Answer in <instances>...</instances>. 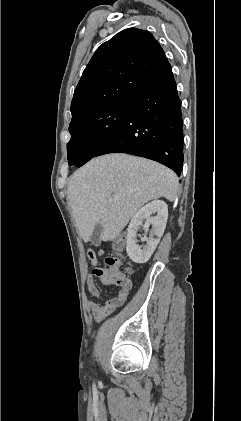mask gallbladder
I'll return each mask as SVG.
<instances>
[{
    "label": "gallbladder",
    "instance_id": "gallbladder-1",
    "mask_svg": "<svg viewBox=\"0 0 241 421\" xmlns=\"http://www.w3.org/2000/svg\"><path fill=\"white\" fill-rule=\"evenodd\" d=\"M103 231V226L101 223H98L95 228L94 231L91 235L90 241L93 245L95 246H99L100 242H101V234Z\"/></svg>",
    "mask_w": 241,
    "mask_h": 421
}]
</instances>
